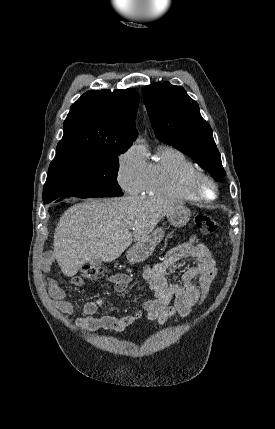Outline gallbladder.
<instances>
[{"label": "gallbladder", "mask_w": 275, "mask_h": 429, "mask_svg": "<svg viewBox=\"0 0 275 429\" xmlns=\"http://www.w3.org/2000/svg\"><path fill=\"white\" fill-rule=\"evenodd\" d=\"M101 262H102V260L100 258H97V259H93L92 261H90V264L92 266H97V265L101 264Z\"/></svg>", "instance_id": "gallbladder-1"}]
</instances>
